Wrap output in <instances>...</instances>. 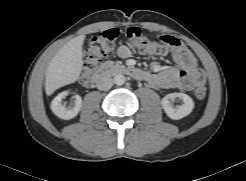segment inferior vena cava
I'll use <instances>...</instances> for the list:
<instances>
[{
    "instance_id": "obj_1",
    "label": "inferior vena cava",
    "mask_w": 246,
    "mask_h": 181,
    "mask_svg": "<svg viewBox=\"0 0 246 181\" xmlns=\"http://www.w3.org/2000/svg\"><path fill=\"white\" fill-rule=\"evenodd\" d=\"M113 85V80L108 75H101L96 82V86L101 91L109 90Z\"/></svg>"
}]
</instances>
